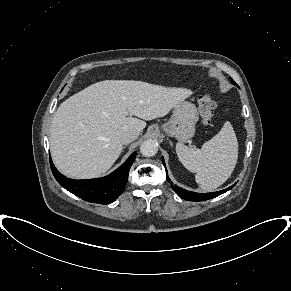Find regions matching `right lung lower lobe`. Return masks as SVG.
I'll list each match as a JSON object with an SVG mask.
<instances>
[{
    "mask_svg": "<svg viewBox=\"0 0 291 291\" xmlns=\"http://www.w3.org/2000/svg\"><path fill=\"white\" fill-rule=\"evenodd\" d=\"M135 157L136 152L110 175L90 180H73L66 178L58 172L51 159L50 166L55 179L69 192L88 202L110 204L125 190L128 182L129 170Z\"/></svg>",
    "mask_w": 291,
    "mask_h": 291,
    "instance_id": "1",
    "label": "right lung lower lobe"
}]
</instances>
